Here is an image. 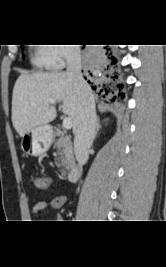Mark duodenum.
Wrapping results in <instances>:
<instances>
[{"label": "duodenum", "mask_w": 166, "mask_h": 267, "mask_svg": "<svg viewBox=\"0 0 166 267\" xmlns=\"http://www.w3.org/2000/svg\"><path fill=\"white\" fill-rule=\"evenodd\" d=\"M57 134L60 135L61 132L58 131ZM80 173H81V167L80 166H78V165L72 166L67 172L68 181H70V182L76 181L78 179Z\"/></svg>", "instance_id": "1"}]
</instances>
